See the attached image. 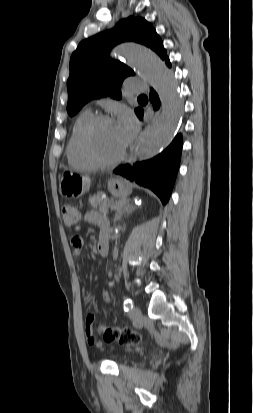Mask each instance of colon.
Listing matches in <instances>:
<instances>
[{"instance_id":"colon-1","label":"colon","mask_w":253,"mask_h":413,"mask_svg":"<svg viewBox=\"0 0 253 413\" xmlns=\"http://www.w3.org/2000/svg\"><path fill=\"white\" fill-rule=\"evenodd\" d=\"M62 217L66 226L73 227L78 223L80 213L75 205L66 203L62 206ZM101 333L106 342L119 341L122 344L135 345L142 341V335L132 329L107 327L103 328Z\"/></svg>"}]
</instances>
